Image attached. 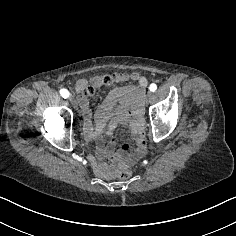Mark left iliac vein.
Here are the masks:
<instances>
[{"label": "left iliac vein", "mask_w": 236, "mask_h": 236, "mask_svg": "<svg viewBox=\"0 0 236 236\" xmlns=\"http://www.w3.org/2000/svg\"><path fill=\"white\" fill-rule=\"evenodd\" d=\"M158 97L156 92H151L149 97V102L155 103L157 102Z\"/></svg>", "instance_id": "4c4485c4"}]
</instances>
